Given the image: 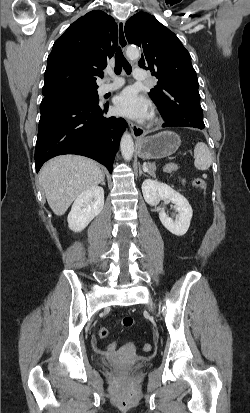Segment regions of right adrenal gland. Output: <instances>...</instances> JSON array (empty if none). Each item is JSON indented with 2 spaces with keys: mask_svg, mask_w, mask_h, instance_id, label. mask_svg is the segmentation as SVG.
<instances>
[{
  "mask_svg": "<svg viewBox=\"0 0 250 413\" xmlns=\"http://www.w3.org/2000/svg\"><path fill=\"white\" fill-rule=\"evenodd\" d=\"M101 185H103V186L106 185V183H105V178H103V180H102V182H101Z\"/></svg>",
  "mask_w": 250,
  "mask_h": 413,
  "instance_id": "2a0ac1e0",
  "label": "right adrenal gland"
}]
</instances>
